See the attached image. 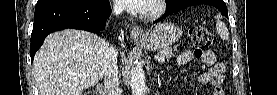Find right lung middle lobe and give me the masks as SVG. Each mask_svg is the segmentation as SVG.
<instances>
[{
	"label": "right lung middle lobe",
	"mask_w": 277,
	"mask_h": 95,
	"mask_svg": "<svg viewBox=\"0 0 277 95\" xmlns=\"http://www.w3.org/2000/svg\"><path fill=\"white\" fill-rule=\"evenodd\" d=\"M52 1H65V0H38L37 4L52 2Z\"/></svg>",
	"instance_id": "1"
}]
</instances>
